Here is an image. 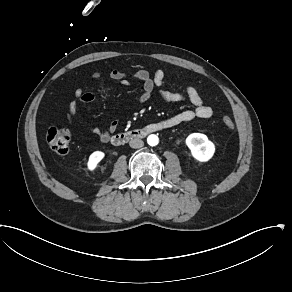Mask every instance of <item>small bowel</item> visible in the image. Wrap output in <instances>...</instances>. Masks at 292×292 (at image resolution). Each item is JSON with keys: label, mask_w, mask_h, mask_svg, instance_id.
Listing matches in <instances>:
<instances>
[{"label": "small bowel", "mask_w": 292, "mask_h": 292, "mask_svg": "<svg viewBox=\"0 0 292 292\" xmlns=\"http://www.w3.org/2000/svg\"><path fill=\"white\" fill-rule=\"evenodd\" d=\"M101 77V72H94L92 74L93 79H99ZM109 77L123 84H127L129 79L140 81L142 83V93L139 97L140 103L148 102L155 97L164 102L188 101L193 105V109L184 110L160 121L159 123L163 124L161 129L172 128L195 118L207 119L213 115L212 107L205 105L198 91L193 86L185 83L180 76L177 75L176 78L182 84L184 88L183 91H175L166 88V72L163 69H158L153 74L145 69H140L130 75L120 69H112L109 73ZM156 88L159 90L155 93ZM74 95L75 99L70 102L66 112V118L70 125H76L78 123L77 112L79 106L81 104L90 103L96 99V94L94 92H86L82 89H76ZM117 126L118 122L113 121L106 130L92 128L90 132L97 136L101 142L107 143Z\"/></svg>", "instance_id": "small-bowel-1"}]
</instances>
